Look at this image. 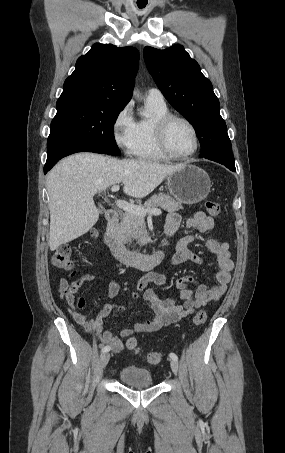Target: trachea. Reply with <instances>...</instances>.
Instances as JSON below:
<instances>
[{"instance_id": "trachea-1", "label": "trachea", "mask_w": 285, "mask_h": 453, "mask_svg": "<svg viewBox=\"0 0 285 453\" xmlns=\"http://www.w3.org/2000/svg\"><path fill=\"white\" fill-rule=\"evenodd\" d=\"M144 0H138L137 5L140 9L144 8L147 5V2H143Z\"/></svg>"}]
</instances>
